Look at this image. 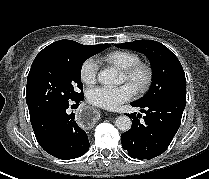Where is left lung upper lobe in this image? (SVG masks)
Returning a JSON list of instances; mask_svg holds the SVG:
<instances>
[{
    "label": "left lung upper lobe",
    "mask_w": 209,
    "mask_h": 179,
    "mask_svg": "<svg viewBox=\"0 0 209 179\" xmlns=\"http://www.w3.org/2000/svg\"><path fill=\"white\" fill-rule=\"evenodd\" d=\"M117 47L139 51L152 63L153 81L147 94L135 101L148 104L157 100L186 96V78L178 58L163 44L153 40H136L116 44Z\"/></svg>",
    "instance_id": "1"
}]
</instances>
